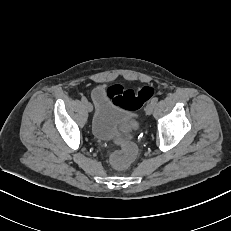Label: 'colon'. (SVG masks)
<instances>
[{"label":"colon","instance_id":"5ec220e1","mask_svg":"<svg viewBox=\"0 0 231 231\" xmlns=\"http://www.w3.org/2000/svg\"><path fill=\"white\" fill-rule=\"evenodd\" d=\"M108 95L114 103L127 110H138L155 94L152 86L145 85L136 90L128 89L121 83L108 87ZM136 148L133 144L125 142L110 155V163L117 169L126 168L134 159Z\"/></svg>","mask_w":231,"mask_h":231}]
</instances>
